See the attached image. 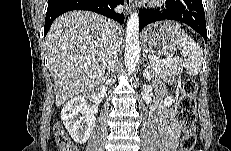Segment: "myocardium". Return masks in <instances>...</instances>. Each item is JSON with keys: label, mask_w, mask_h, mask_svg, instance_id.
Instances as JSON below:
<instances>
[{"label": "myocardium", "mask_w": 231, "mask_h": 151, "mask_svg": "<svg viewBox=\"0 0 231 151\" xmlns=\"http://www.w3.org/2000/svg\"><path fill=\"white\" fill-rule=\"evenodd\" d=\"M154 3H159V2H161V1H153Z\"/></svg>", "instance_id": "1"}]
</instances>
